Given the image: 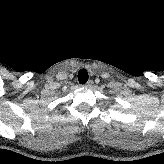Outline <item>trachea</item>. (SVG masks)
<instances>
[{"label": "trachea", "mask_w": 164, "mask_h": 164, "mask_svg": "<svg viewBox=\"0 0 164 164\" xmlns=\"http://www.w3.org/2000/svg\"><path fill=\"white\" fill-rule=\"evenodd\" d=\"M78 81L82 84H85L88 81V72L86 69H81L78 72Z\"/></svg>", "instance_id": "obj_1"}]
</instances>
